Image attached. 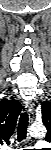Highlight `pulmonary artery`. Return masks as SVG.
<instances>
[{
	"mask_svg": "<svg viewBox=\"0 0 51 150\" xmlns=\"http://www.w3.org/2000/svg\"><path fill=\"white\" fill-rule=\"evenodd\" d=\"M45 146H48V143L46 142H43V141H40L36 144V147L37 148H42V147H45ZM9 150H22V149H9Z\"/></svg>",
	"mask_w": 51,
	"mask_h": 150,
	"instance_id": "obj_1",
	"label": "pulmonary artery"
}]
</instances>
